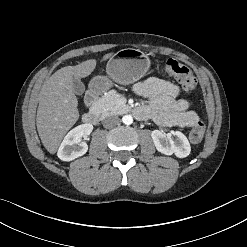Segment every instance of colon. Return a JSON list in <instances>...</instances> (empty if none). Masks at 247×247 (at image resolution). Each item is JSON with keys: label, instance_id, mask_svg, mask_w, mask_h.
<instances>
[{"label": "colon", "instance_id": "5ec220e1", "mask_svg": "<svg viewBox=\"0 0 247 247\" xmlns=\"http://www.w3.org/2000/svg\"><path fill=\"white\" fill-rule=\"evenodd\" d=\"M164 69L167 73L174 76L182 85V87L192 92L196 87V79L192 71L184 64L175 59H168L165 62ZM205 133V125L198 122L189 134V139L192 143L198 144L202 141Z\"/></svg>", "mask_w": 247, "mask_h": 247}]
</instances>
